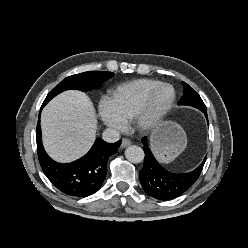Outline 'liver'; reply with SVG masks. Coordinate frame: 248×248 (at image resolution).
<instances>
[{
  "label": "liver",
  "mask_w": 248,
  "mask_h": 248,
  "mask_svg": "<svg viewBox=\"0 0 248 248\" xmlns=\"http://www.w3.org/2000/svg\"><path fill=\"white\" fill-rule=\"evenodd\" d=\"M43 144L58 162L80 158L93 145L97 132L96 113L90 98L70 90L53 98L41 115Z\"/></svg>",
  "instance_id": "1"
}]
</instances>
